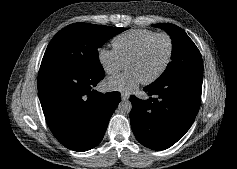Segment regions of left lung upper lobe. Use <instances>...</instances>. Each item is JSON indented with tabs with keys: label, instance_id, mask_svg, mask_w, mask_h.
<instances>
[{
	"label": "left lung upper lobe",
	"instance_id": "1",
	"mask_svg": "<svg viewBox=\"0 0 237 169\" xmlns=\"http://www.w3.org/2000/svg\"><path fill=\"white\" fill-rule=\"evenodd\" d=\"M154 27L165 30L172 39V60L164 73L154 83L203 72L201 54L183 29L171 23H159L155 24Z\"/></svg>",
	"mask_w": 237,
	"mask_h": 169
}]
</instances>
